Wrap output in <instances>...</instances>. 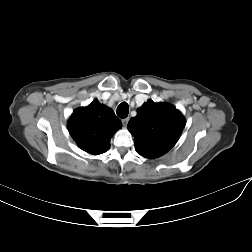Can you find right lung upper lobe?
<instances>
[{
	"label": "right lung upper lobe",
	"instance_id": "right-lung-upper-lobe-1",
	"mask_svg": "<svg viewBox=\"0 0 252 252\" xmlns=\"http://www.w3.org/2000/svg\"><path fill=\"white\" fill-rule=\"evenodd\" d=\"M120 128L122 123L114 111L97 99L87 107L74 110L68 124L69 133L78 146L92 155L106 152L112 135Z\"/></svg>",
	"mask_w": 252,
	"mask_h": 252
}]
</instances>
